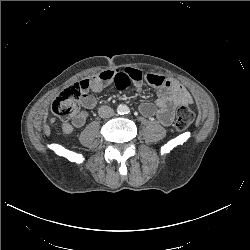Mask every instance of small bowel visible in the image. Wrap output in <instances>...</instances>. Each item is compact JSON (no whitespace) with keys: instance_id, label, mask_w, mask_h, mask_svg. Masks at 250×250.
<instances>
[{"instance_id":"1","label":"small bowel","mask_w":250,"mask_h":250,"mask_svg":"<svg viewBox=\"0 0 250 250\" xmlns=\"http://www.w3.org/2000/svg\"><path fill=\"white\" fill-rule=\"evenodd\" d=\"M144 82L157 89V98L154 103H142L139 110L146 117L156 118L162 125H169L172 122L174 109L177 106L192 103L189 92L174 79L156 73H143L135 68L108 70L78 83L82 89L79 103L83 109L76 112L70 121L61 124L63 133L70 134L75 128L85 124L88 117L86 110L93 109L97 105L96 97L90 92H100L110 85L121 90L131 85L140 89Z\"/></svg>"}]
</instances>
